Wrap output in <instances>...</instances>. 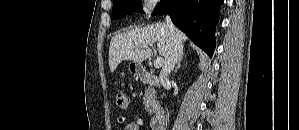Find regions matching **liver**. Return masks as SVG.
I'll list each match as a JSON object with an SVG mask.
<instances>
[{
  "instance_id": "liver-1",
  "label": "liver",
  "mask_w": 299,
  "mask_h": 130,
  "mask_svg": "<svg viewBox=\"0 0 299 130\" xmlns=\"http://www.w3.org/2000/svg\"><path fill=\"white\" fill-rule=\"evenodd\" d=\"M181 42L187 40L186 35L179 31ZM157 43L158 52L165 59L171 49L169 30L165 23H155L144 28H132L112 37L109 48V67L114 72L117 66L125 60L142 62L152 56L149 48Z\"/></svg>"
}]
</instances>
